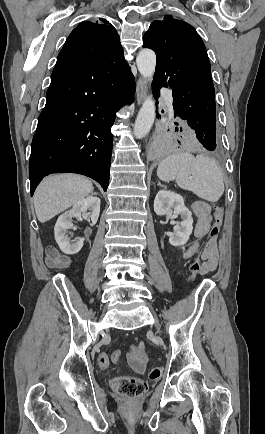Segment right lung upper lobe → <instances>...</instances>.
<instances>
[{
	"label": "right lung upper lobe",
	"instance_id": "1",
	"mask_svg": "<svg viewBox=\"0 0 265 434\" xmlns=\"http://www.w3.org/2000/svg\"><path fill=\"white\" fill-rule=\"evenodd\" d=\"M123 56L115 28L105 18L81 22L69 35L57 62H103Z\"/></svg>",
	"mask_w": 265,
	"mask_h": 434
}]
</instances>
